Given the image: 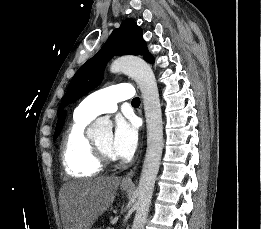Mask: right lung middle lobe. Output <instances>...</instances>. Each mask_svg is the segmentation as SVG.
I'll return each mask as SVG.
<instances>
[{
    "label": "right lung middle lobe",
    "instance_id": "obj_1",
    "mask_svg": "<svg viewBox=\"0 0 261 229\" xmlns=\"http://www.w3.org/2000/svg\"><path fill=\"white\" fill-rule=\"evenodd\" d=\"M62 126H63V125H58V126H56V132H55V134H54V140L58 137L59 133L61 132Z\"/></svg>",
    "mask_w": 261,
    "mask_h": 229
}]
</instances>
